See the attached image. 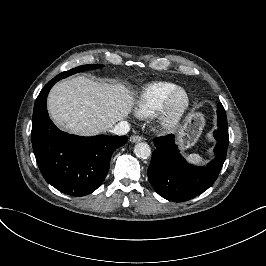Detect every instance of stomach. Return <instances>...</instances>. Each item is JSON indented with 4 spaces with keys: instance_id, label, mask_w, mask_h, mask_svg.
Masks as SVG:
<instances>
[{
    "instance_id": "0dacf381",
    "label": "stomach",
    "mask_w": 266,
    "mask_h": 266,
    "mask_svg": "<svg viewBox=\"0 0 266 266\" xmlns=\"http://www.w3.org/2000/svg\"><path fill=\"white\" fill-rule=\"evenodd\" d=\"M204 123V118L199 113H191L185 125L179 131L181 135L180 143L184 148L193 145L197 140Z\"/></svg>"
}]
</instances>
